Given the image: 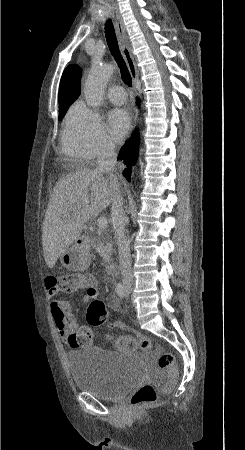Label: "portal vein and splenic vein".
<instances>
[{"instance_id": "1", "label": "portal vein and splenic vein", "mask_w": 245, "mask_h": 450, "mask_svg": "<svg viewBox=\"0 0 245 450\" xmlns=\"http://www.w3.org/2000/svg\"><path fill=\"white\" fill-rule=\"evenodd\" d=\"M107 224H108V222H107V219H106L105 217H101V218H99L98 221H97V225H98V227H99L100 229H105V228H107Z\"/></svg>"}]
</instances>
